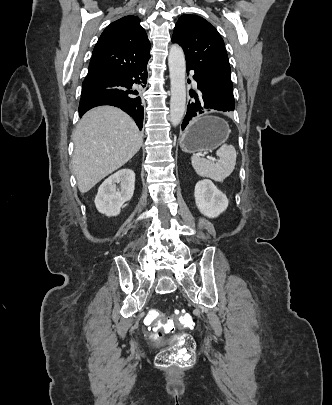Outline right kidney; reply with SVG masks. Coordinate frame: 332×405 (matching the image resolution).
I'll return each mask as SVG.
<instances>
[{
    "mask_svg": "<svg viewBox=\"0 0 332 405\" xmlns=\"http://www.w3.org/2000/svg\"><path fill=\"white\" fill-rule=\"evenodd\" d=\"M118 183L120 189L116 188ZM134 189L135 173L130 169H122L101 184L95 197V206L101 214L117 216L122 205L132 198Z\"/></svg>",
    "mask_w": 332,
    "mask_h": 405,
    "instance_id": "right-kidney-1",
    "label": "right kidney"
}]
</instances>
